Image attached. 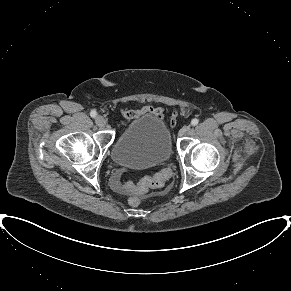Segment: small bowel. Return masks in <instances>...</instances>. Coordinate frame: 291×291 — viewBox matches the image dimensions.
I'll return each instance as SVG.
<instances>
[{"label": "small bowel", "instance_id": "small-bowel-1", "mask_svg": "<svg viewBox=\"0 0 291 291\" xmlns=\"http://www.w3.org/2000/svg\"><path fill=\"white\" fill-rule=\"evenodd\" d=\"M151 113L157 117H164L165 116V111L160 108V107H152V106H145L143 108L140 109H136V110H122L121 111V116L123 118L124 122L130 121L134 118H136L137 116L144 114V113ZM175 114H172L169 117L170 122H174L175 120Z\"/></svg>", "mask_w": 291, "mask_h": 291}]
</instances>
